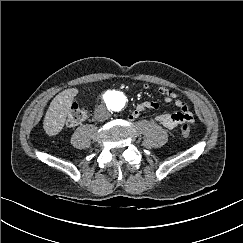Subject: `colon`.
<instances>
[{"label": "colon", "instance_id": "obj_1", "mask_svg": "<svg viewBox=\"0 0 243 243\" xmlns=\"http://www.w3.org/2000/svg\"><path fill=\"white\" fill-rule=\"evenodd\" d=\"M87 116V109L84 107H80L77 104H73L69 114L67 116V124L69 126H76L83 122ZM191 133V124L188 122H184L181 125V134L183 137H189Z\"/></svg>", "mask_w": 243, "mask_h": 243}]
</instances>
